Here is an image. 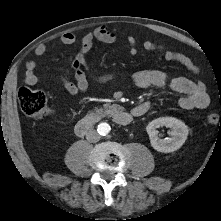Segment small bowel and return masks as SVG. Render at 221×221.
I'll return each instance as SVG.
<instances>
[{"mask_svg":"<svg viewBox=\"0 0 221 221\" xmlns=\"http://www.w3.org/2000/svg\"><path fill=\"white\" fill-rule=\"evenodd\" d=\"M117 40L118 35L104 26L98 27L81 37L77 53L69 58L75 81H71L66 76L60 78L61 84L69 94L78 95L86 92L89 87V80L108 83L117 79L113 73H94L87 60V55L96 42L115 43ZM60 42L64 45H73L77 42V37L71 32H66L60 36ZM142 47L148 52H162L167 61L178 63L195 75L199 74L198 66L190 57L181 52L166 49L162 44L149 40L143 42ZM46 52L47 46L45 44H40L35 49V54L39 57L45 55ZM137 53L138 43L135 38L129 37L128 54L134 57ZM36 67L37 63L34 60L26 62L24 71L26 84L36 85L39 82ZM132 81L139 88H169L181 94L178 104L184 110L205 109L210 103V97L201 81H193L182 76H169L159 70L137 72L132 76ZM136 107L133 112H135Z\"/></svg>","mask_w":221,"mask_h":221,"instance_id":"small-bowel-1","label":"small bowel"}]
</instances>
